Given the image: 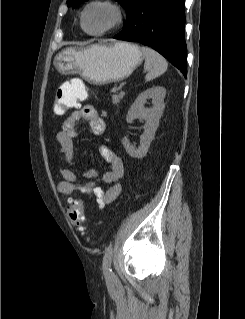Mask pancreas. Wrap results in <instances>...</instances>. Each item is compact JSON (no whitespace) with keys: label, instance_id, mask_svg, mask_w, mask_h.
Segmentation results:
<instances>
[{"label":"pancreas","instance_id":"pancreas-1","mask_svg":"<svg viewBox=\"0 0 245 319\" xmlns=\"http://www.w3.org/2000/svg\"><path fill=\"white\" fill-rule=\"evenodd\" d=\"M122 98H123V93L113 94L112 95V103L117 105Z\"/></svg>","mask_w":245,"mask_h":319}]
</instances>
